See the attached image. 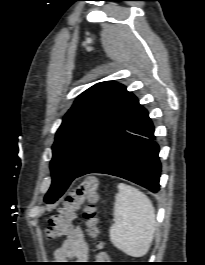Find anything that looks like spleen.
Instances as JSON below:
<instances>
[{"mask_svg": "<svg viewBox=\"0 0 205 265\" xmlns=\"http://www.w3.org/2000/svg\"><path fill=\"white\" fill-rule=\"evenodd\" d=\"M110 240L115 247L132 257L149 251L156 227L155 210L151 200L137 188L118 184Z\"/></svg>", "mask_w": 205, "mask_h": 265, "instance_id": "spleen-1", "label": "spleen"}]
</instances>
